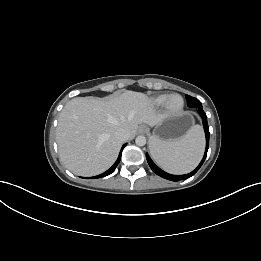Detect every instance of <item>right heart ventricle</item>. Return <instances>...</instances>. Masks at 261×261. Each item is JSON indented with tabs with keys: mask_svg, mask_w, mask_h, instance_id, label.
I'll return each instance as SVG.
<instances>
[{
	"mask_svg": "<svg viewBox=\"0 0 261 261\" xmlns=\"http://www.w3.org/2000/svg\"><path fill=\"white\" fill-rule=\"evenodd\" d=\"M167 98H168V95H166V94L158 95L152 99V103L155 106H162L165 104Z\"/></svg>",
	"mask_w": 261,
	"mask_h": 261,
	"instance_id": "1",
	"label": "right heart ventricle"
}]
</instances>
